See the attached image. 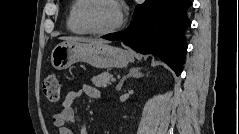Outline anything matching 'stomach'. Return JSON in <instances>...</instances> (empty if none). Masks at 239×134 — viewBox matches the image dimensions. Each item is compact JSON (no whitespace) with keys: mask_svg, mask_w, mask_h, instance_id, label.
Segmentation results:
<instances>
[{"mask_svg":"<svg viewBox=\"0 0 239 134\" xmlns=\"http://www.w3.org/2000/svg\"><path fill=\"white\" fill-rule=\"evenodd\" d=\"M133 60L132 54L106 43L65 41L52 50L51 64L57 70L69 68L76 62H84L95 68H123Z\"/></svg>","mask_w":239,"mask_h":134,"instance_id":"obj_1","label":"stomach"}]
</instances>
